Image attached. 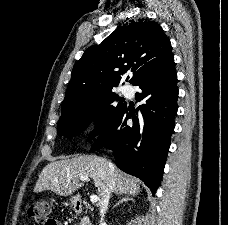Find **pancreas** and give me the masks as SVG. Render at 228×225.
I'll return each mask as SVG.
<instances>
[{
  "mask_svg": "<svg viewBox=\"0 0 228 225\" xmlns=\"http://www.w3.org/2000/svg\"><path fill=\"white\" fill-rule=\"evenodd\" d=\"M82 225H91L89 217H84V219H81Z\"/></svg>",
  "mask_w": 228,
  "mask_h": 225,
  "instance_id": "cf45deb5",
  "label": "pancreas"
}]
</instances>
